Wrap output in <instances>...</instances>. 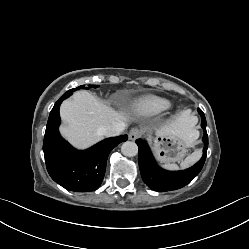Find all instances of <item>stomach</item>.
Here are the masks:
<instances>
[{"label": "stomach", "mask_w": 249, "mask_h": 249, "mask_svg": "<svg viewBox=\"0 0 249 249\" xmlns=\"http://www.w3.org/2000/svg\"><path fill=\"white\" fill-rule=\"evenodd\" d=\"M189 144L180 134L157 133L153 138V151L162 162H178L184 158Z\"/></svg>", "instance_id": "0dacf381"}]
</instances>
